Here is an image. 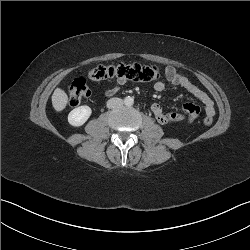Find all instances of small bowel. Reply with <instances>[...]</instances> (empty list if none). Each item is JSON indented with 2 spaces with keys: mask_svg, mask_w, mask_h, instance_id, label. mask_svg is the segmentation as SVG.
Listing matches in <instances>:
<instances>
[{
  "mask_svg": "<svg viewBox=\"0 0 250 250\" xmlns=\"http://www.w3.org/2000/svg\"><path fill=\"white\" fill-rule=\"evenodd\" d=\"M164 74L167 82L170 85L178 86L188 91L201 102L206 115L212 117L214 116V103L207 93L193 84L185 75L177 71L173 66H167L165 68ZM125 83L126 80L117 79L106 91V94H115ZM154 89L157 92H162L165 89V83L163 81H157L154 84ZM151 111L160 124L171 125L179 122H193L201 114L202 109L194 103H185L182 107V112H164L160 104L154 103L151 106Z\"/></svg>",
  "mask_w": 250,
  "mask_h": 250,
  "instance_id": "small-bowel-1",
  "label": "small bowel"
}]
</instances>
